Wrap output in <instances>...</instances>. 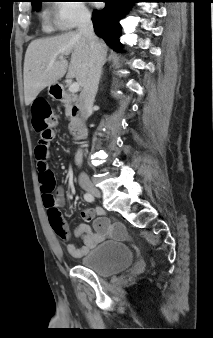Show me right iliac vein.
Wrapping results in <instances>:
<instances>
[{"mask_svg":"<svg viewBox=\"0 0 213 338\" xmlns=\"http://www.w3.org/2000/svg\"><path fill=\"white\" fill-rule=\"evenodd\" d=\"M83 188L90 194L96 196V197H100L101 196V192L91 183L85 184L83 185Z\"/></svg>","mask_w":213,"mask_h":338,"instance_id":"1","label":"right iliac vein"}]
</instances>
